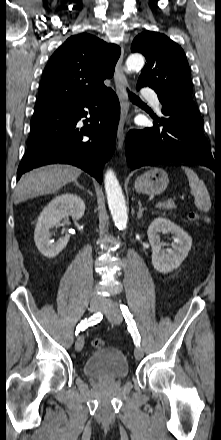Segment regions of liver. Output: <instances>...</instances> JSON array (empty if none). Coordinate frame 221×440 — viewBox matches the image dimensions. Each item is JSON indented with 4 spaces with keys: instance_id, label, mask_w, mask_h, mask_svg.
<instances>
[{
    "instance_id": "liver-1",
    "label": "liver",
    "mask_w": 221,
    "mask_h": 440,
    "mask_svg": "<svg viewBox=\"0 0 221 440\" xmlns=\"http://www.w3.org/2000/svg\"><path fill=\"white\" fill-rule=\"evenodd\" d=\"M81 173V169L71 165H49L35 169L21 177L15 189V202L55 193L67 183L76 181Z\"/></svg>"
}]
</instances>
